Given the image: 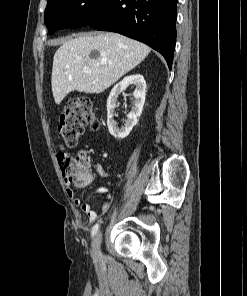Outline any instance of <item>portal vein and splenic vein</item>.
<instances>
[{"instance_id":"18ae733b","label":"portal vein and splenic vein","mask_w":247,"mask_h":296,"mask_svg":"<svg viewBox=\"0 0 247 296\" xmlns=\"http://www.w3.org/2000/svg\"><path fill=\"white\" fill-rule=\"evenodd\" d=\"M84 71H85L86 73H91V69H89V68L84 69Z\"/></svg>"}]
</instances>
